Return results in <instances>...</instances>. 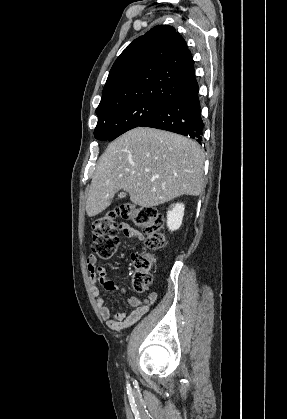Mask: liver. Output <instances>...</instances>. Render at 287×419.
I'll list each match as a JSON object with an SVG mask.
<instances>
[{"label": "liver", "instance_id": "1", "mask_svg": "<svg viewBox=\"0 0 287 419\" xmlns=\"http://www.w3.org/2000/svg\"><path fill=\"white\" fill-rule=\"evenodd\" d=\"M204 153L189 138L154 128L137 127L111 142L99 158L86 202L96 216L125 190L132 203L151 208L204 189Z\"/></svg>", "mask_w": 287, "mask_h": 419}]
</instances>
